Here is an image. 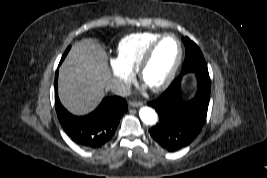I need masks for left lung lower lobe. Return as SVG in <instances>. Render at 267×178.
<instances>
[{
	"label": "left lung lower lobe",
	"instance_id": "obj_1",
	"mask_svg": "<svg viewBox=\"0 0 267 178\" xmlns=\"http://www.w3.org/2000/svg\"><path fill=\"white\" fill-rule=\"evenodd\" d=\"M186 73L180 74L159 98L148 102L159 116L156 125L149 130L150 135L171 152L189 145L200 133L207 117L211 91L209 73L195 72L196 94L185 101L181 99V80Z\"/></svg>",
	"mask_w": 267,
	"mask_h": 178
}]
</instances>
